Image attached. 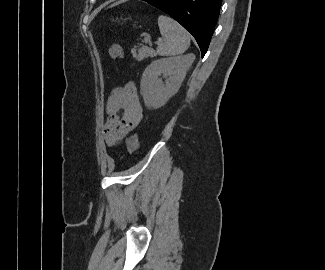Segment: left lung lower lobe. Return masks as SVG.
Here are the masks:
<instances>
[{
  "mask_svg": "<svg viewBox=\"0 0 325 270\" xmlns=\"http://www.w3.org/2000/svg\"><path fill=\"white\" fill-rule=\"evenodd\" d=\"M179 22L206 54L219 16L222 0H143Z\"/></svg>",
  "mask_w": 325,
  "mask_h": 270,
  "instance_id": "obj_1",
  "label": "left lung lower lobe"
}]
</instances>
